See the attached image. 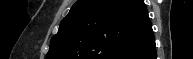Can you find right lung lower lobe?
<instances>
[{
    "label": "right lung lower lobe",
    "instance_id": "right-lung-lower-lobe-1",
    "mask_svg": "<svg viewBox=\"0 0 193 59\" xmlns=\"http://www.w3.org/2000/svg\"><path fill=\"white\" fill-rule=\"evenodd\" d=\"M121 59H156V47L154 36L137 48L135 51L121 57Z\"/></svg>",
    "mask_w": 193,
    "mask_h": 59
}]
</instances>
